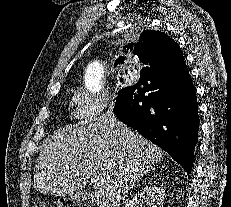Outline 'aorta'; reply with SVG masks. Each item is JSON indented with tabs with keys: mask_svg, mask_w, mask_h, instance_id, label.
I'll list each match as a JSON object with an SVG mask.
<instances>
[{
	"mask_svg": "<svg viewBox=\"0 0 231 207\" xmlns=\"http://www.w3.org/2000/svg\"><path fill=\"white\" fill-rule=\"evenodd\" d=\"M103 74L102 63L96 60L89 64L85 74V85L90 92L96 93L101 90Z\"/></svg>",
	"mask_w": 231,
	"mask_h": 207,
	"instance_id": "1",
	"label": "aorta"
}]
</instances>
